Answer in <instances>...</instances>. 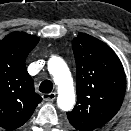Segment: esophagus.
<instances>
[{"label":"esophagus","mask_w":131,"mask_h":131,"mask_svg":"<svg viewBox=\"0 0 131 131\" xmlns=\"http://www.w3.org/2000/svg\"><path fill=\"white\" fill-rule=\"evenodd\" d=\"M42 98H43L44 101H47V102L54 101L55 98H56V93L52 92V93H49V94H43Z\"/></svg>","instance_id":"1"}]
</instances>
